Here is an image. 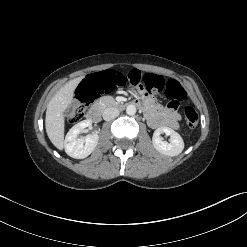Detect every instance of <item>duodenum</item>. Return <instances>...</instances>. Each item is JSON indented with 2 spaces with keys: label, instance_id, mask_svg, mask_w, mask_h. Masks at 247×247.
<instances>
[{
  "label": "duodenum",
  "instance_id": "1",
  "mask_svg": "<svg viewBox=\"0 0 247 247\" xmlns=\"http://www.w3.org/2000/svg\"><path fill=\"white\" fill-rule=\"evenodd\" d=\"M135 106L139 109H143V104L142 102L136 100V101H132V102H128V103H125V102H117L115 103L113 106L116 108V109H119V110H122L124 109L125 107L127 106ZM101 109L98 108V107H95V108H92L89 113H88V119L92 122H99L101 120Z\"/></svg>",
  "mask_w": 247,
  "mask_h": 247
}]
</instances>
